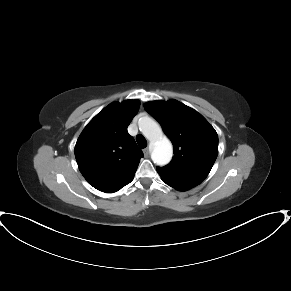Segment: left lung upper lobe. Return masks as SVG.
Here are the masks:
<instances>
[{
  "label": "left lung upper lobe",
  "mask_w": 291,
  "mask_h": 291,
  "mask_svg": "<svg viewBox=\"0 0 291 291\" xmlns=\"http://www.w3.org/2000/svg\"><path fill=\"white\" fill-rule=\"evenodd\" d=\"M162 126L174 147L172 161L157 171L162 179L198 185L209 174L218 154V135L207 120L177 100L144 105Z\"/></svg>",
  "instance_id": "left-lung-upper-lobe-1"
}]
</instances>
